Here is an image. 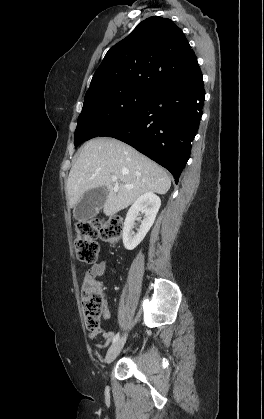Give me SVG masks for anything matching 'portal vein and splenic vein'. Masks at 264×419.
<instances>
[{
	"instance_id": "1",
	"label": "portal vein and splenic vein",
	"mask_w": 264,
	"mask_h": 419,
	"mask_svg": "<svg viewBox=\"0 0 264 419\" xmlns=\"http://www.w3.org/2000/svg\"><path fill=\"white\" fill-rule=\"evenodd\" d=\"M111 179H112V181L115 183V188H116V189H118V187H119V183H118L117 177H116V176H112V177H111ZM125 187H126V188H132V186H131V185H125Z\"/></svg>"
}]
</instances>
